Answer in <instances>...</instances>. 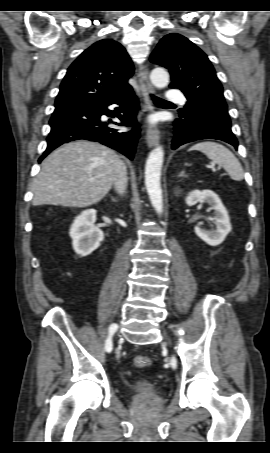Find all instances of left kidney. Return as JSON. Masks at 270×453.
Returning a JSON list of instances; mask_svg holds the SVG:
<instances>
[{
  "label": "left kidney",
  "mask_w": 270,
  "mask_h": 453,
  "mask_svg": "<svg viewBox=\"0 0 270 453\" xmlns=\"http://www.w3.org/2000/svg\"><path fill=\"white\" fill-rule=\"evenodd\" d=\"M198 202L207 203L214 210L216 228L205 230L198 224L194 231L208 245L217 246L224 241L232 229L228 212L218 195L211 190H193L185 198L188 206H193Z\"/></svg>",
  "instance_id": "obj_1"
}]
</instances>
